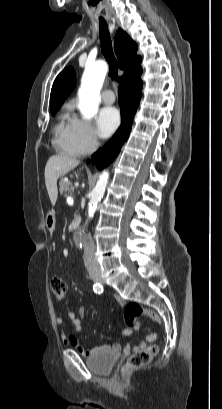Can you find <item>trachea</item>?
I'll list each match as a JSON object with an SVG mask.
<instances>
[{"label":"trachea","mask_w":222,"mask_h":409,"mask_svg":"<svg viewBox=\"0 0 222 409\" xmlns=\"http://www.w3.org/2000/svg\"><path fill=\"white\" fill-rule=\"evenodd\" d=\"M101 51L109 64V76L113 80L118 79V64L112 51V43L108 26L104 20H99Z\"/></svg>","instance_id":"obj_1"}]
</instances>
